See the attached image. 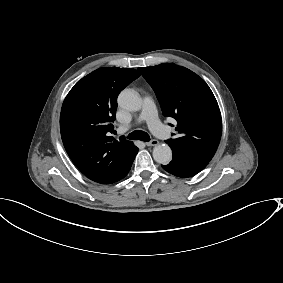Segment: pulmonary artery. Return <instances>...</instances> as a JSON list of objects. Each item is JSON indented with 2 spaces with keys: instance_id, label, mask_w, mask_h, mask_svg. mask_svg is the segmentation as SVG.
<instances>
[{
  "instance_id": "1",
  "label": "pulmonary artery",
  "mask_w": 283,
  "mask_h": 283,
  "mask_svg": "<svg viewBox=\"0 0 283 283\" xmlns=\"http://www.w3.org/2000/svg\"><path fill=\"white\" fill-rule=\"evenodd\" d=\"M153 105V101L149 96H144L141 100V110L137 116V120L141 121L144 119V115H146L145 122L148 126H150L151 131L159 135L161 138L166 139L170 136L171 131L168 127L163 126L160 122H158L157 117L155 116L157 110ZM128 130V126L120 125L118 127L119 132H125Z\"/></svg>"
}]
</instances>
